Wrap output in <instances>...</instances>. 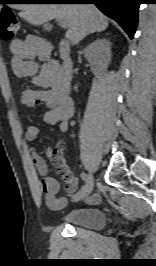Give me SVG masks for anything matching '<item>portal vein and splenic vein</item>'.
<instances>
[{
  "instance_id": "portal-vein-and-splenic-vein-1",
  "label": "portal vein and splenic vein",
  "mask_w": 156,
  "mask_h": 266,
  "mask_svg": "<svg viewBox=\"0 0 156 266\" xmlns=\"http://www.w3.org/2000/svg\"><path fill=\"white\" fill-rule=\"evenodd\" d=\"M57 21L59 22V25L63 28H66L67 27V23L64 21V20H61V19H57Z\"/></svg>"
}]
</instances>
